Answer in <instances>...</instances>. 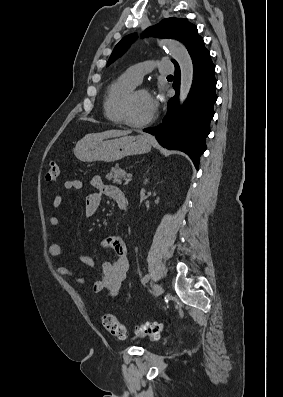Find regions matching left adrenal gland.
<instances>
[{
  "mask_svg": "<svg viewBox=\"0 0 283 397\" xmlns=\"http://www.w3.org/2000/svg\"><path fill=\"white\" fill-rule=\"evenodd\" d=\"M148 183V179L147 178H145V180H144V184L146 185Z\"/></svg>",
  "mask_w": 283,
  "mask_h": 397,
  "instance_id": "left-adrenal-gland-1",
  "label": "left adrenal gland"
}]
</instances>
